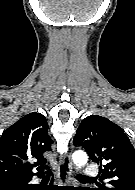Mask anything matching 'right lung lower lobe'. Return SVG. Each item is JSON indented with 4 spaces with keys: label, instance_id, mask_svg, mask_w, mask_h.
Here are the masks:
<instances>
[{
    "label": "right lung lower lobe",
    "instance_id": "98d812e1",
    "mask_svg": "<svg viewBox=\"0 0 135 190\" xmlns=\"http://www.w3.org/2000/svg\"><path fill=\"white\" fill-rule=\"evenodd\" d=\"M38 176L42 177V175H38ZM31 179H32V177L29 180H27V182L31 181ZM0 182H2V181H0ZM47 189L48 190H55V186L50 185ZM0 190H32V188H30L28 185H25V184L20 186V187H16V188H9L8 186L6 187V186L0 185Z\"/></svg>",
    "mask_w": 135,
    "mask_h": 190
}]
</instances>
